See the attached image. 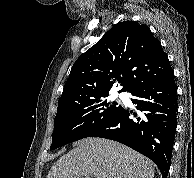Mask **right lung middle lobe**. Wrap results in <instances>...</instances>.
Listing matches in <instances>:
<instances>
[{
	"mask_svg": "<svg viewBox=\"0 0 194 178\" xmlns=\"http://www.w3.org/2000/svg\"><path fill=\"white\" fill-rule=\"evenodd\" d=\"M107 96H99L57 111L50 150L88 137L95 129L117 114L122 107L117 106L116 102L111 103Z\"/></svg>",
	"mask_w": 194,
	"mask_h": 178,
	"instance_id": "dd1d6c3e",
	"label": "right lung middle lobe"
}]
</instances>
